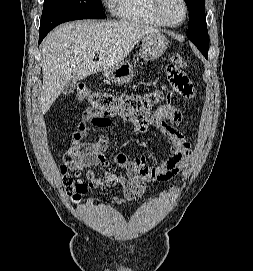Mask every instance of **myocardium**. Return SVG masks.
<instances>
[{
    "label": "myocardium",
    "mask_w": 253,
    "mask_h": 271,
    "mask_svg": "<svg viewBox=\"0 0 253 271\" xmlns=\"http://www.w3.org/2000/svg\"><path fill=\"white\" fill-rule=\"evenodd\" d=\"M184 7V16L182 20L178 23H171L163 13L162 10V0H152V10L155 16L159 19V21L167 27L176 28L181 26L188 18L189 7L186 0H181Z\"/></svg>",
    "instance_id": "f54148a6"
}]
</instances>
